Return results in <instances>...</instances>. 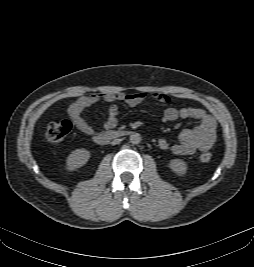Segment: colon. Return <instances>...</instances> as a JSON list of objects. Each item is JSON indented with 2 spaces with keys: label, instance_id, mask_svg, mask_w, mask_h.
Returning a JSON list of instances; mask_svg holds the SVG:
<instances>
[{
  "label": "colon",
  "instance_id": "colon-1",
  "mask_svg": "<svg viewBox=\"0 0 254 267\" xmlns=\"http://www.w3.org/2000/svg\"><path fill=\"white\" fill-rule=\"evenodd\" d=\"M72 125L68 120L50 123L46 128V139L51 143L61 142L71 131ZM202 163H208L212 159L210 152H204L199 157Z\"/></svg>",
  "mask_w": 254,
  "mask_h": 267
}]
</instances>
